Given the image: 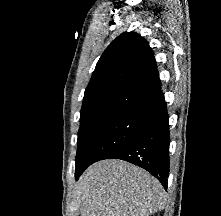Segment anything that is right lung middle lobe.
Returning a JSON list of instances; mask_svg holds the SVG:
<instances>
[{"instance_id": "right-lung-middle-lobe-1", "label": "right lung middle lobe", "mask_w": 221, "mask_h": 216, "mask_svg": "<svg viewBox=\"0 0 221 216\" xmlns=\"http://www.w3.org/2000/svg\"><path fill=\"white\" fill-rule=\"evenodd\" d=\"M148 114L120 112L80 124L76 166L91 165L130 141L145 126Z\"/></svg>"}]
</instances>
